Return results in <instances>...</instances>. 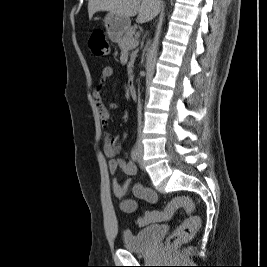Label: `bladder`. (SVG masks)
I'll list each match as a JSON object with an SVG mask.
<instances>
[{"mask_svg": "<svg viewBox=\"0 0 267 267\" xmlns=\"http://www.w3.org/2000/svg\"><path fill=\"white\" fill-rule=\"evenodd\" d=\"M160 230L159 225H150L137 232L125 231L123 246L131 252H144L151 247Z\"/></svg>", "mask_w": 267, "mask_h": 267, "instance_id": "31cf9c89", "label": "bladder"}]
</instances>
